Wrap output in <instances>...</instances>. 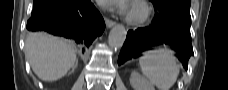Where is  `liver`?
I'll return each mask as SVG.
<instances>
[{"label": "liver", "mask_w": 228, "mask_h": 90, "mask_svg": "<svg viewBox=\"0 0 228 90\" xmlns=\"http://www.w3.org/2000/svg\"><path fill=\"white\" fill-rule=\"evenodd\" d=\"M25 53L34 73L43 81H56L76 64V54L64 39L44 33H31Z\"/></svg>", "instance_id": "6515ba94"}]
</instances>
